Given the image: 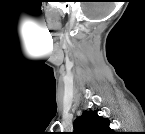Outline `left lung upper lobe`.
<instances>
[{
  "label": "left lung upper lobe",
  "mask_w": 145,
  "mask_h": 134,
  "mask_svg": "<svg viewBox=\"0 0 145 134\" xmlns=\"http://www.w3.org/2000/svg\"><path fill=\"white\" fill-rule=\"evenodd\" d=\"M110 121L102 118L97 111L85 110L80 117L74 121V134H113L109 127Z\"/></svg>",
  "instance_id": "left-lung-upper-lobe-1"
}]
</instances>
